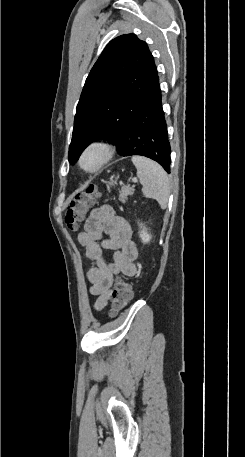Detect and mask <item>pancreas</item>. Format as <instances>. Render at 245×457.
Returning <instances> with one entry per match:
<instances>
[{"label":"pancreas","mask_w":245,"mask_h":457,"mask_svg":"<svg viewBox=\"0 0 245 457\" xmlns=\"http://www.w3.org/2000/svg\"><path fill=\"white\" fill-rule=\"evenodd\" d=\"M133 192V186H126V184H124L120 190L119 200H121V202H125V198H127L128 194H133Z\"/></svg>","instance_id":"cf45deb5"}]
</instances>
